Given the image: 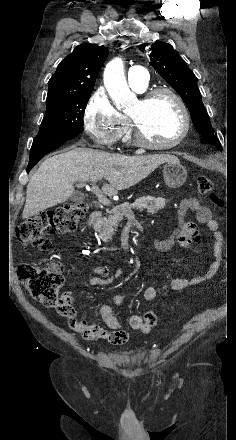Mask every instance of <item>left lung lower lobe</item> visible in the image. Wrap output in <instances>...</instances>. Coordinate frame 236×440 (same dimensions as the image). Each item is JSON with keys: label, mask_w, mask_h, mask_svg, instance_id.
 <instances>
[{"label": "left lung lower lobe", "mask_w": 236, "mask_h": 440, "mask_svg": "<svg viewBox=\"0 0 236 440\" xmlns=\"http://www.w3.org/2000/svg\"><path fill=\"white\" fill-rule=\"evenodd\" d=\"M201 143H209L218 148V150L221 151V144L218 140V138L214 135L204 136Z\"/></svg>", "instance_id": "0a47b994"}]
</instances>
